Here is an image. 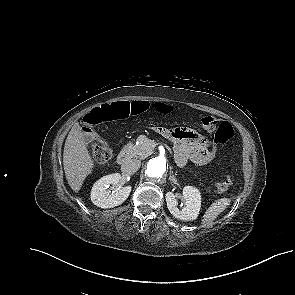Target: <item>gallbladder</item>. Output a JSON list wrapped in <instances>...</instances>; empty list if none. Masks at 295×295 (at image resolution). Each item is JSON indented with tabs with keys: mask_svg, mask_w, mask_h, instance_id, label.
<instances>
[{
	"mask_svg": "<svg viewBox=\"0 0 295 295\" xmlns=\"http://www.w3.org/2000/svg\"><path fill=\"white\" fill-rule=\"evenodd\" d=\"M94 140H95V134H90L85 138V141L87 143H93Z\"/></svg>",
	"mask_w": 295,
	"mask_h": 295,
	"instance_id": "gallbladder-1",
	"label": "gallbladder"
}]
</instances>
